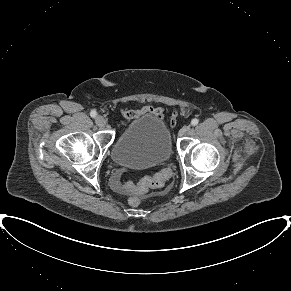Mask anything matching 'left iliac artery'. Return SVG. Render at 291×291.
Returning <instances> with one entry per match:
<instances>
[{
  "label": "left iliac artery",
  "instance_id": "44dca946",
  "mask_svg": "<svg viewBox=\"0 0 291 291\" xmlns=\"http://www.w3.org/2000/svg\"><path fill=\"white\" fill-rule=\"evenodd\" d=\"M198 123H199V120L196 118L192 119V121H191L192 126H196Z\"/></svg>",
  "mask_w": 291,
  "mask_h": 291
}]
</instances>
